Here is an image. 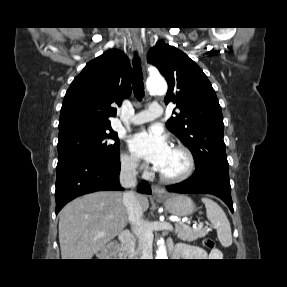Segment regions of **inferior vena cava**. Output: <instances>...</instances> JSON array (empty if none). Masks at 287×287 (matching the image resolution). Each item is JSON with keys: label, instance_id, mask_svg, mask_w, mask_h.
Segmentation results:
<instances>
[{"label": "inferior vena cava", "instance_id": "602c4592", "mask_svg": "<svg viewBox=\"0 0 287 287\" xmlns=\"http://www.w3.org/2000/svg\"><path fill=\"white\" fill-rule=\"evenodd\" d=\"M137 163L129 160L121 164L120 184L130 190L124 192L123 203L127 211L128 220L133 226V232L141 243V259H152L153 234L146 221L143 220V210L139 204L137 195L133 190L137 185Z\"/></svg>", "mask_w": 287, "mask_h": 287}]
</instances>
